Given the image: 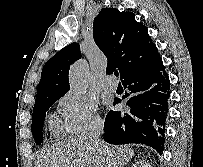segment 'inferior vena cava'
<instances>
[{
  "instance_id": "602c4592",
  "label": "inferior vena cava",
  "mask_w": 203,
  "mask_h": 167,
  "mask_svg": "<svg viewBox=\"0 0 203 167\" xmlns=\"http://www.w3.org/2000/svg\"><path fill=\"white\" fill-rule=\"evenodd\" d=\"M103 127V121L96 122L90 132L85 136V139H87L93 146L99 147L101 145L99 137L103 132Z\"/></svg>"
}]
</instances>
